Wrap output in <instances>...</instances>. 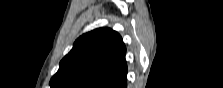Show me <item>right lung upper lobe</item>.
<instances>
[{
  "label": "right lung upper lobe",
  "instance_id": "1",
  "mask_svg": "<svg viewBox=\"0 0 223 88\" xmlns=\"http://www.w3.org/2000/svg\"><path fill=\"white\" fill-rule=\"evenodd\" d=\"M126 47L112 29L99 28L80 36L61 60L51 88H126Z\"/></svg>",
  "mask_w": 223,
  "mask_h": 88
}]
</instances>
